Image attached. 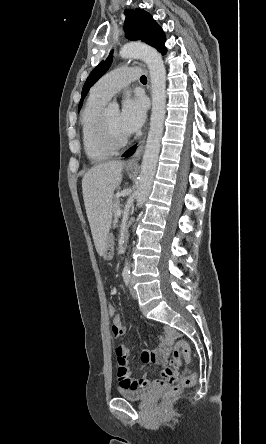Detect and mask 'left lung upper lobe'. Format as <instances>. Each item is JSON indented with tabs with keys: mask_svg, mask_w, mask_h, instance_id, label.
I'll list each match as a JSON object with an SVG mask.
<instances>
[{
	"mask_svg": "<svg viewBox=\"0 0 266 444\" xmlns=\"http://www.w3.org/2000/svg\"><path fill=\"white\" fill-rule=\"evenodd\" d=\"M126 20L124 23L125 36L129 40H141L155 47L163 55L166 53L164 46L165 35L152 16L141 9L125 10ZM112 63V51L105 61H102L88 76L81 95L78 110L89 89L107 72Z\"/></svg>",
	"mask_w": 266,
	"mask_h": 444,
	"instance_id": "1",
	"label": "left lung upper lobe"
}]
</instances>
